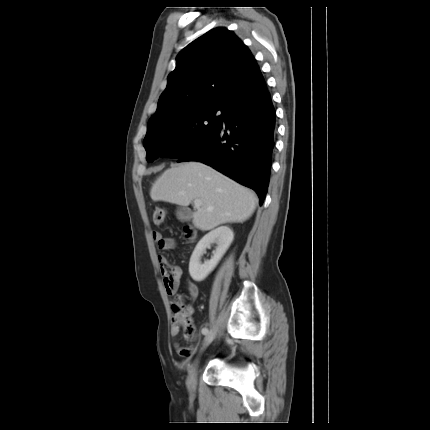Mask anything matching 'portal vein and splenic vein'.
Segmentation results:
<instances>
[{
    "instance_id": "portal-vein-and-splenic-vein-1",
    "label": "portal vein and splenic vein",
    "mask_w": 430,
    "mask_h": 430,
    "mask_svg": "<svg viewBox=\"0 0 430 430\" xmlns=\"http://www.w3.org/2000/svg\"><path fill=\"white\" fill-rule=\"evenodd\" d=\"M194 205L196 208H199L202 205V201L200 199H195L194 200Z\"/></svg>"
}]
</instances>
